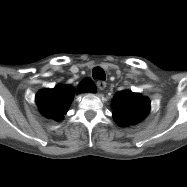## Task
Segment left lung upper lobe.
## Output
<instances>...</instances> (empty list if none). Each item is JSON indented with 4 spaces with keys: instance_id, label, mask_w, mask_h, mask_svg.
Masks as SVG:
<instances>
[{
    "instance_id": "5c2ea615",
    "label": "left lung upper lobe",
    "mask_w": 187,
    "mask_h": 187,
    "mask_svg": "<svg viewBox=\"0 0 187 187\" xmlns=\"http://www.w3.org/2000/svg\"><path fill=\"white\" fill-rule=\"evenodd\" d=\"M113 118L120 126L135 124L142 120L150 109V101L138 93L121 91L113 99Z\"/></svg>"
}]
</instances>
